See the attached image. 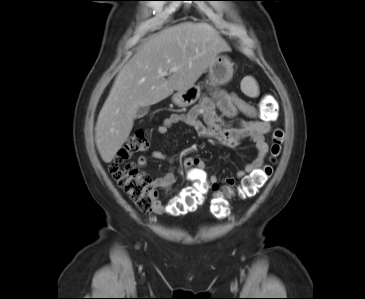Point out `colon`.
<instances>
[{"label":"colon","instance_id":"obj_1","mask_svg":"<svg viewBox=\"0 0 365 299\" xmlns=\"http://www.w3.org/2000/svg\"><path fill=\"white\" fill-rule=\"evenodd\" d=\"M260 114L265 119H272L275 109L271 103H265ZM282 143V132L273 135L271 145V163L263 169L257 170L243 178L241 184L230 192L217 191L212 200L210 211L216 218H224L228 214L227 198L233 193L241 199L253 197L272 175V163L279 155ZM149 147L148 139L143 129H137L117 152L114 162L110 166V173L129 199L143 212H151L157 197L155 188L149 178L141 173L135 163L126 162L134 153L146 151ZM209 186L204 182H196L186 187L169 203V211L173 215H180L196 210L205 200Z\"/></svg>","mask_w":365,"mask_h":299}]
</instances>
